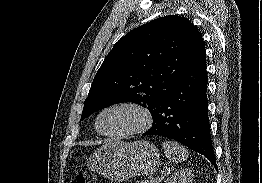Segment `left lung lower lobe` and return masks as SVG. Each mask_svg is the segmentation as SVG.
Here are the masks:
<instances>
[{
  "label": "left lung lower lobe",
  "mask_w": 262,
  "mask_h": 183,
  "mask_svg": "<svg viewBox=\"0 0 262 183\" xmlns=\"http://www.w3.org/2000/svg\"><path fill=\"white\" fill-rule=\"evenodd\" d=\"M205 51L181 75L143 135L174 139L204 155L217 169L211 142Z\"/></svg>",
  "instance_id": "1"
}]
</instances>
